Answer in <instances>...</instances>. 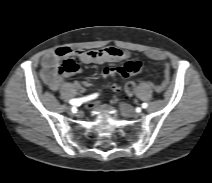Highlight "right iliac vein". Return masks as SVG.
<instances>
[{
  "label": "right iliac vein",
  "mask_w": 212,
  "mask_h": 183,
  "mask_svg": "<svg viewBox=\"0 0 212 183\" xmlns=\"http://www.w3.org/2000/svg\"><path fill=\"white\" fill-rule=\"evenodd\" d=\"M69 113L72 114V110L71 109H69Z\"/></svg>",
  "instance_id": "63e3f726"
}]
</instances>
